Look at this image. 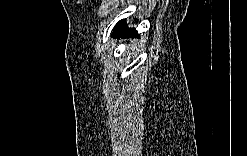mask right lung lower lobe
Returning <instances> with one entry per match:
<instances>
[{
    "mask_svg": "<svg viewBox=\"0 0 247 156\" xmlns=\"http://www.w3.org/2000/svg\"><path fill=\"white\" fill-rule=\"evenodd\" d=\"M130 35V34H135L137 35V31L134 30V29H129L127 27V24H126V20L123 19V20H120L116 26L114 27V30H113V33H112V36H125V35Z\"/></svg>",
    "mask_w": 247,
    "mask_h": 156,
    "instance_id": "right-lung-lower-lobe-1",
    "label": "right lung lower lobe"
}]
</instances>
